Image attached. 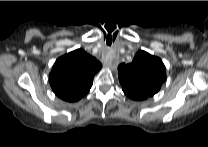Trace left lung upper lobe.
Listing matches in <instances>:
<instances>
[{
	"label": "left lung upper lobe",
	"mask_w": 208,
	"mask_h": 147,
	"mask_svg": "<svg viewBox=\"0 0 208 147\" xmlns=\"http://www.w3.org/2000/svg\"><path fill=\"white\" fill-rule=\"evenodd\" d=\"M118 76L125 94L138 93L146 98L156 94L166 79L161 59L145 51H139L131 63L120 64Z\"/></svg>",
	"instance_id": "5c2ea615"
}]
</instances>
